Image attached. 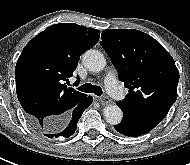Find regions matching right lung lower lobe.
Returning a JSON list of instances; mask_svg holds the SVG:
<instances>
[{"instance_id":"right-lung-lower-lobe-1","label":"right lung lower lobe","mask_w":190,"mask_h":165,"mask_svg":"<svg viewBox=\"0 0 190 165\" xmlns=\"http://www.w3.org/2000/svg\"><path fill=\"white\" fill-rule=\"evenodd\" d=\"M93 98L91 96H87L82 102H80L68 115V117L63 121L59 126H55L52 129H47L45 131L39 130L35 120L31 117L27 116L28 122L37 130L44 133L45 136L49 138H57V137H70L77 128V123L80 117L82 116L83 111L92 103Z\"/></svg>"}]
</instances>
